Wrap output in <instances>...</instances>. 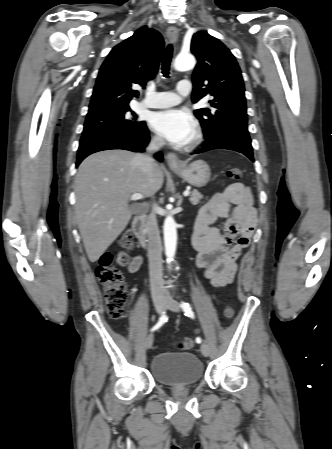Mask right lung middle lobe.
Masks as SVG:
<instances>
[{"label":"right lung middle lobe","instance_id":"dd1d6c3e","mask_svg":"<svg viewBox=\"0 0 332 449\" xmlns=\"http://www.w3.org/2000/svg\"><path fill=\"white\" fill-rule=\"evenodd\" d=\"M130 108L103 109L88 112L82 136L99 132L132 133L145 126V122H137L136 116H130Z\"/></svg>","mask_w":332,"mask_h":449}]
</instances>
